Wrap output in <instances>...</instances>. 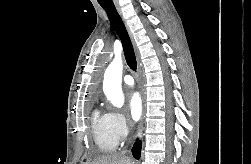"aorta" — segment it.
<instances>
[{
    "instance_id": "obj_1",
    "label": "aorta",
    "mask_w": 251,
    "mask_h": 164,
    "mask_svg": "<svg viewBox=\"0 0 251 164\" xmlns=\"http://www.w3.org/2000/svg\"><path fill=\"white\" fill-rule=\"evenodd\" d=\"M123 63L120 56H116L104 74L103 91L107 99L115 106L122 107L124 95L122 92Z\"/></svg>"
}]
</instances>
